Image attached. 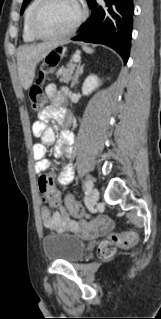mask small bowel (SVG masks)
<instances>
[{"label":"small bowel","instance_id":"obj_1","mask_svg":"<svg viewBox=\"0 0 161 319\" xmlns=\"http://www.w3.org/2000/svg\"><path fill=\"white\" fill-rule=\"evenodd\" d=\"M45 93L51 101V105L47 106L38 116V120L32 126V135L34 138H40L41 143L33 144V156L36 159L35 169L37 172L50 170L53 164L45 159V146L54 145L53 152L56 157H61L65 150L67 159L65 167L57 180L58 186H67L74 178V171L69 157L73 152L74 135L69 131L63 132L57 139L52 128L46 127L49 119L54 118L63 124L68 123V117L65 116L61 109V105L65 101L67 87L58 88L55 84H49L45 88ZM72 203L80 205L72 195H66L60 205V210L52 212L50 206L41 208V218L44 226L53 232L70 231L72 233H97L104 234L112 229L108 218L95 217L90 220H74L68 213L67 204Z\"/></svg>","mask_w":161,"mask_h":319}]
</instances>
